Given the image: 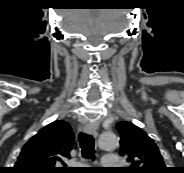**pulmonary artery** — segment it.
Masks as SVG:
<instances>
[{
    "mask_svg": "<svg viewBox=\"0 0 184 173\" xmlns=\"http://www.w3.org/2000/svg\"><path fill=\"white\" fill-rule=\"evenodd\" d=\"M119 164V158L116 155H105L102 160V165L107 168L116 167Z\"/></svg>",
    "mask_w": 184,
    "mask_h": 173,
    "instance_id": "pulmonary-artery-1",
    "label": "pulmonary artery"
}]
</instances>
